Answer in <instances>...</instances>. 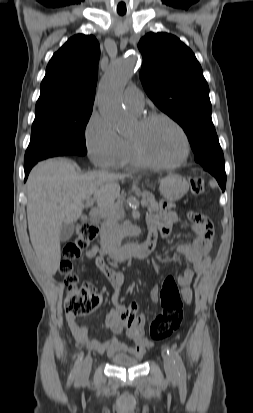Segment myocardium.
<instances>
[{
    "instance_id": "myocardium-1",
    "label": "myocardium",
    "mask_w": 253,
    "mask_h": 413,
    "mask_svg": "<svg viewBox=\"0 0 253 413\" xmlns=\"http://www.w3.org/2000/svg\"><path fill=\"white\" fill-rule=\"evenodd\" d=\"M158 120H164L168 123H170L181 135L183 144H184V149L181 157L176 160L175 162L172 163H161L157 162L153 159H151L144 151L141 143L134 138H131V143L133 145L134 151L139 158V160L146 166L156 168V169H174L186 162V160L189 157L190 150H191V145H190V140L189 137L184 130V128L172 117L163 114V113H155V114H150L147 115L143 118L140 119L139 124L143 127L148 126L149 124L158 121Z\"/></svg>"
}]
</instances>
